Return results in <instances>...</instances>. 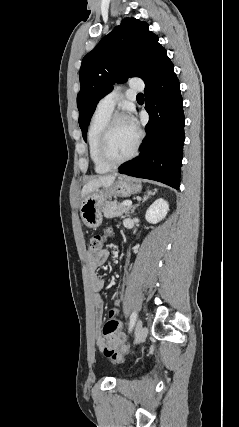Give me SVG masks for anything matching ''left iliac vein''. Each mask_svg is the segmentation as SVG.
<instances>
[{"mask_svg":"<svg viewBox=\"0 0 239 427\" xmlns=\"http://www.w3.org/2000/svg\"><path fill=\"white\" fill-rule=\"evenodd\" d=\"M148 334V329L142 325V321L139 320L135 329V340L134 344H139L143 342Z\"/></svg>","mask_w":239,"mask_h":427,"instance_id":"left-iliac-vein-1","label":"left iliac vein"}]
</instances>
